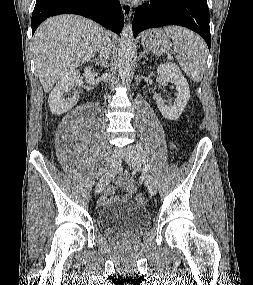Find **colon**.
Returning <instances> with one entry per match:
<instances>
[{
	"label": "colon",
	"instance_id": "obj_1",
	"mask_svg": "<svg viewBox=\"0 0 253 285\" xmlns=\"http://www.w3.org/2000/svg\"><path fill=\"white\" fill-rule=\"evenodd\" d=\"M136 201L138 204L144 205L147 203L148 198L144 193H140L136 196Z\"/></svg>",
	"mask_w": 253,
	"mask_h": 285
}]
</instances>
